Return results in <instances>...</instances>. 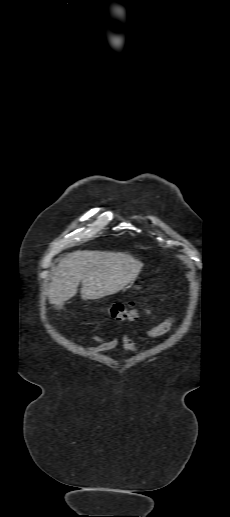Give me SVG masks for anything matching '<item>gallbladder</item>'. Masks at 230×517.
<instances>
[{"instance_id":"gallbladder-1","label":"gallbladder","mask_w":230,"mask_h":517,"mask_svg":"<svg viewBox=\"0 0 230 517\" xmlns=\"http://www.w3.org/2000/svg\"><path fill=\"white\" fill-rule=\"evenodd\" d=\"M62 306H58L57 308L60 309Z\"/></svg>"}]
</instances>
